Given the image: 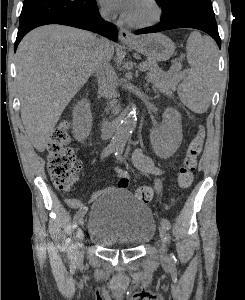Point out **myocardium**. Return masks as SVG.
Returning a JSON list of instances; mask_svg holds the SVG:
<instances>
[{
    "label": "myocardium",
    "mask_w": 245,
    "mask_h": 300,
    "mask_svg": "<svg viewBox=\"0 0 245 300\" xmlns=\"http://www.w3.org/2000/svg\"><path fill=\"white\" fill-rule=\"evenodd\" d=\"M147 2L150 4L154 11L153 17L145 22H136V21H131L129 19H125L126 23L134 28H148L151 26L156 25L162 18V9L158 3L157 0H147Z\"/></svg>",
    "instance_id": "obj_1"
}]
</instances>
